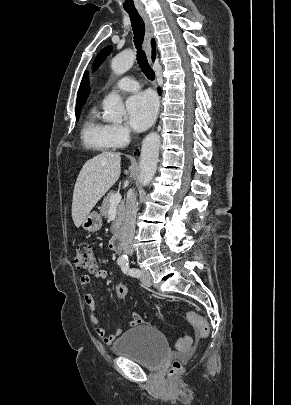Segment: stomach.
<instances>
[{
	"instance_id": "stomach-1",
	"label": "stomach",
	"mask_w": 291,
	"mask_h": 405,
	"mask_svg": "<svg viewBox=\"0 0 291 405\" xmlns=\"http://www.w3.org/2000/svg\"><path fill=\"white\" fill-rule=\"evenodd\" d=\"M81 226L89 232L100 230L102 227L101 215L96 211L90 212L81 223Z\"/></svg>"
}]
</instances>
